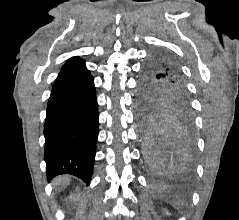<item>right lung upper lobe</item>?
I'll return each mask as SVG.
<instances>
[{
  "label": "right lung upper lobe",
  "instance_id": "right-lung-upper-lobe-1",
  "mask_svg": "<svg viewBox=\"0 0 239 220\" xmlns=\"http://www.w3.org/2000/svg\"><path fill=\"white\" fill-rule=\"evenodd\" d=\"M77 61H80V60H78L77 58H71L64 66H63V68L64 67H66V66H69V65H71V64H73V63H75V62H77ZM62 68V69H63Z\"/></svg>",
  "mask_w": 239,
  "mask_h": 220
}]
</instances>
